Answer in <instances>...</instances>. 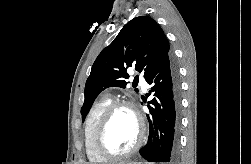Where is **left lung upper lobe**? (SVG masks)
<instances>
[{
	"label": "left lung upper lobe",
	"instance_id": "1",
	"mask_svg": "<svg viewBox=\"0 0 251 164\" xmlns=\"http://www.w3.org/2000/svg\"><path fill=\"white\" fill-rule=\"evenodd\" d=\"M169 56V42L160 26L147 16L133 18L96 58L86 81L81 115H87L95 98L104 89L126 87L122 78H128V67H135L146 79Z\"/></svg>",
	"mask_w": 251,
	"mask_h": 164
}]
</instances>
